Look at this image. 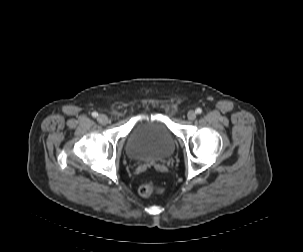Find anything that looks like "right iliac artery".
<instances>
[{
    "mask_svg": "<svg viewBox=\"0 0 303 252\" xmlns=\"http://www.w3.org/2000/svg\"><path fill=\"white\" fill-rule=\"evenodd\" d=\"M92 116H93V117H97V116H98V113H97V112H93V113H92Z\"/></svg>",
    "mask_w": 303,
    "mask_h": 252,
    "instance_id": "obj_1",
    "label": "right iliac artery"
}]
</instances>
